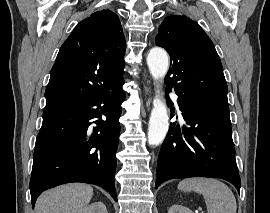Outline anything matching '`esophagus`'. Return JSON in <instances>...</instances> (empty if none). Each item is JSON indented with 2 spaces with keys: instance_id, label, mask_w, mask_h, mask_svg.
I'll use <instances>...</instances> for the list:
<instances>
[{
  "instance_id": "obj_1",
  "label": "esophagus",
  "mask_w": 270,
  "mask_h": 213,
  "mask_svg": "<svg viewBox=\"0 0 270 213\" xmlns=\"http://www.w3.org/2000/svg\"><path fill=\"white\" fill-rule=\"evenodd\" d=\"M150 92V88L148 87V85H144V93L145 95H147Z\"/></svg>"
}]
</instances>
